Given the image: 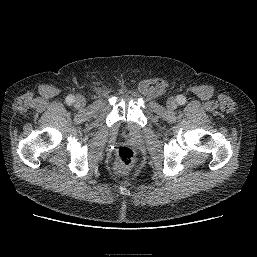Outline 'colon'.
<instances>
[{
    "instance_id": "colon-1",
    "label": "colon",
    "mask_w": 257,
    "mask_h": 257,
    "mask_svg": "<svg viewBox=\"0 0 257 257\" xmlns=\"http://www.w3.org/2000/svg\"><path fill=\"white\" fill-rule=\"evenodd\" d=\"M135 155V150L131 145H121L116 153L115 170L118 173L129 171L134 164Z\"/></svg>"
}]
</instances>
